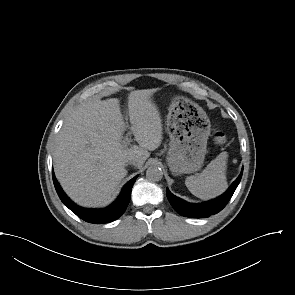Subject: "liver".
I'll use <instances>...</instances> for the list:
<instances>
[{
    "mask_svg": "<svg viewBox=\"0 0 295 295\" xmlns=\"http://www.w3.org/2000/svg\"><path fill=\"white\" fill-rule=\"evenodd\" d=\"M156 89L134 90L127 113L139 146L121 144L127 129L120 100L110 98L81 105L65 120L53 153L54 171L64 191L84 207L107 205L121 180L128 155H137L140 168L163 139L162 119L151 98Z\"/></svg>",
    "mask_w": 295,
    "mask_h": 295,
    "instance_id": "6515ba94",
    "label": "liver"
}]
</instances>
